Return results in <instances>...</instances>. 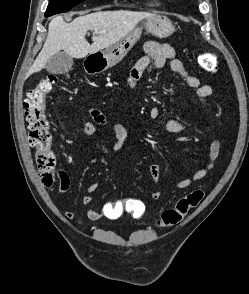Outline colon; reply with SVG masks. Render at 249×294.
Returning <instances> with one entry per match:
<instances>
[{
  "label": "colon",
  "instance_id": "colon-1",
  "mask_svg": "<svg viewBox=\"0 0 249 294\" xmlns=\"http://www.w3.org/2000/svg\"><path fill=\"white\" fill-rule=\"evenodd\" d=\"M199 63L209 73L217 71L216 60L208 53L200 55ZM56 83L57 78L55 76L41 79L28 92L26 101L27 122L30 131L29 141L35 149L36 165L42 177V182L46 186H51L56 178L60 179L62 175V171L56 170V155L52 148L53 135L46 114L47 98ZM204 197L205 191L201 189L188 193L180 198L174 207L162 211L157 220V225L161 228H167L179 224L191 209L202 202ZM111 212L115 217H120L126 213L133 219H140L146 213V206L138 199H127L114 202Z\"/></svg>",
  "mask_w": 249,
  "mask_h": 294
}]
</instances>
